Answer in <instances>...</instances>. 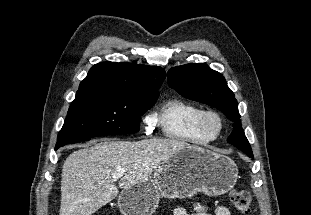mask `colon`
Listing matches in <instances>:
<instances>
[{
  "label": "colon",
  "mask_w": 311,
  "mask_h": 215,
  "mask_svg": "<svg viewBox=\"0 0 311 215\" xmlns=\"http://www.w3.org/2000/svg\"><path fill=\"white\" fill-rule=\"evenodd\" d=\"M230 201L240 213L248 215L251 212V194L243 189H233L230 194Z\"/></svg>",
  "instance_id": "1"
}]
</instances>
